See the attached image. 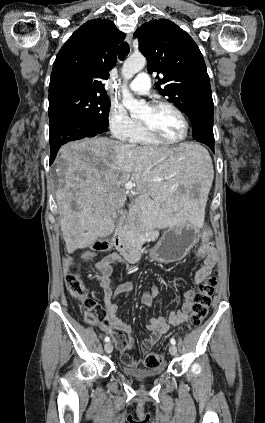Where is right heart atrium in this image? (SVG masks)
Returning a JSON list of instances; mask_svg holds the SVG:
<instances>
[{"label": "right heart atrium", "mask_w": 265, "mask_h": 423, "mask_svg": "<svg viewBox=\"0 0 265 423\" xmlns=\"http://www.w3.org/2000/svg\"><path fill=\"white\" fill-rule=\"evenodd\" d=\"M108 123L113 136L121 141H129L138 125L119 104L111 105Z\"/></svg>", "instance_id": "1"}]
</instances>
